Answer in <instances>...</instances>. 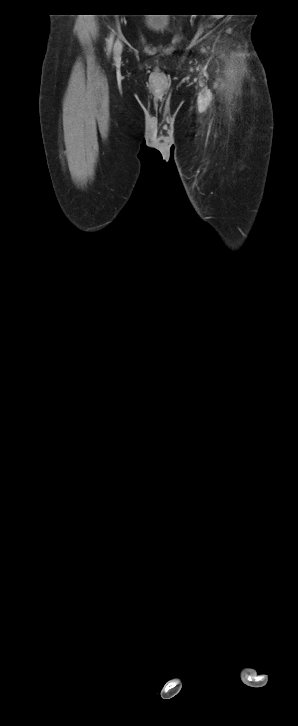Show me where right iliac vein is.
I'll return each mask as SVG.
<instances>
[{
  "label": "right iliac vein",
  "instance_id": "1",
  "mask_svg": "<svg viewBox=\"0 0 298 726\" xmlns=\"http://www.w3.org/2000/svg\"><path fill=\"white\" fill-rule=\"evenodd\" d=\"M121 50H122V45H121V43H120V42L118 41V42H116V44H115V58H119V56H120V54H121Z\"/></svg>",
  "mask_w": 298,
  "mask_h": 726
}]
</instances>
